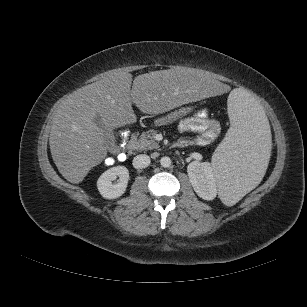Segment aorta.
Masks as SVG:
<instances>
[{"mask_svg":"<svg viewBox=\"0 0 307 307\" xmlns=\"http://www.w3.org/2000/svg\"><path fill=\"white\" fill-rule=\"evenodd\" d=\"M171 163H172L171 159L167 156L162 157L161 160H160V164L164 168L170 167Z\"/></svg>","mask_w":307,"mask_h":307,"instance_id":"1","label":"aorta"}]
</instances>
